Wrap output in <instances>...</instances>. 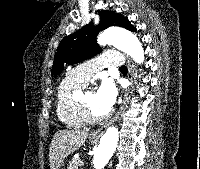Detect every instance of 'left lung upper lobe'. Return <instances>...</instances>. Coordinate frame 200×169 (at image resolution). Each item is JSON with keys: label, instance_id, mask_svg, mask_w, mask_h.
<instances>
[{"label": "left lung upper lobe", "instance_id": "5c2ea615", "mask_svg": "<svg viewBox=\"0 0 200 169\" xmlns=\"http://www.w3.org/2000/svg\"><path fill=\"white\" fill-rule=\"evenodd\" d=\"M99 15L101 18L99 25L94 26L90 23L61 40L55 53L51 70L54 77L63 71L64 63L75 64L91 58L100 52L101 48L96 44V36L100 30L110 26H120L131 31H136L126 17L115 12L100 11Z\"/></svg>", "mask_w": 200, "mask_h": 169}]
</instances>
